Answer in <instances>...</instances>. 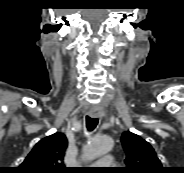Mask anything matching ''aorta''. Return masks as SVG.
Returning a JSON list of instances; mask_svg holds the SVG:
<instances>
[{"instance_id": "1", "label": "aorta", "mask_w": 184, "mask_h": 173, "mask_svg": "<svg viewBox=\"0 0 184 173\" xmlns=\"http://www.w3.org/2000/svg\"><path fill=\"white\" fill-rule=\"evenodd\" d=\"M113 147V141L108 136H94L89 139L84 147V158L86 160H94L106 153Z\"/></svg>"}]
</instances>
